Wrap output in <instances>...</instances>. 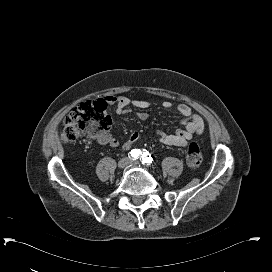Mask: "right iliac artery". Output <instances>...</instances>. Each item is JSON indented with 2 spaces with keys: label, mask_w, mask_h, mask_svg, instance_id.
I'll return each instance as SVG.
<instances>
[{
  "label": "right iliac artery",
  "mask_w": 272,
  "mask_h": 272,
  "mask_svg": "<svg viewBox=\"0 0 272 272\" xmlns=\"http://www.w3.org/2000/svg\"><path fill=\"white\" fill-rule=\"evenodd\" d=\"M140 154H141V151L139 149H133L131 150L129 157L134 160V159H137Z\"/></svg>",
  "instance_id": "right-iliac-artery-1"
}]
</instances>
